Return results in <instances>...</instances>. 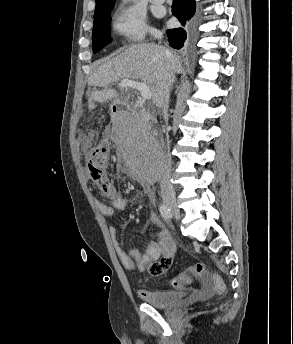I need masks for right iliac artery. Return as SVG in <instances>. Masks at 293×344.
<instances>
[{"mask_svg": "<svg viewBox=\"0 0 293 344\" xmlns=\"http://www.w3.org/2000/svg\"><path fill=\"white\" fill-rule=\"evenodd\" d=\"M159 209H160V213H161L162 217L165 220L170 221V219L172 218V213H171L170 209L165 204H161Z\"/></svg>", "mask_w": 293, "mask_h": 344, "instance_id": "82829eb1", "label": "right iliac artery"}]
</instances>
